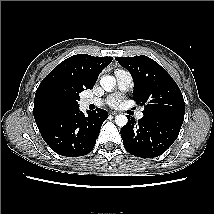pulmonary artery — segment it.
<instances>
[{"instance_id":"1","label":"pulmonary artery","mask_w":214,"mask_h":214,"mask_svg":"<svg viewBox=\"0 0 214 214\" xmlns=\"http://www.w3.org/2000/svg\"><path fill=\"white\" fill-rule=\"evenodd\" d=\"M115 77L117 81V86L120 90L125 91L127 90L132 84V76L131 74L124 70V69H117L115 70ZM85 105H96L100 106L103 104V101L99 98H87L84 100ZM144 116L142 111H139L136 114L137 119H142Z\"/></svg>"}]
</instances>
